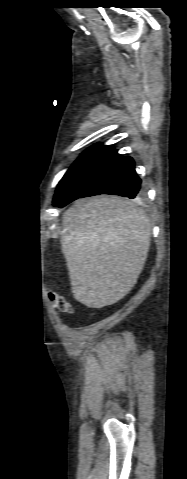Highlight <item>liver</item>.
<instances>
[{
    "mask_svg": "<svg viewBox=\"0 0 187 479\" xmlns=\"http://www.w3.org/2000/svg\"><path fill=\"white\" fill-rule=\"evenodd\" d=\"M150 240L151 223L132 202L76 201L63 213L60 239L74 298L89 308L121 300L143 270Z\"/></svg>",
    "mask_w": 187,
    "mask_h": 479,
    "instance_id": "6515ba94",
    "label": "liver"
}]
</instances>
